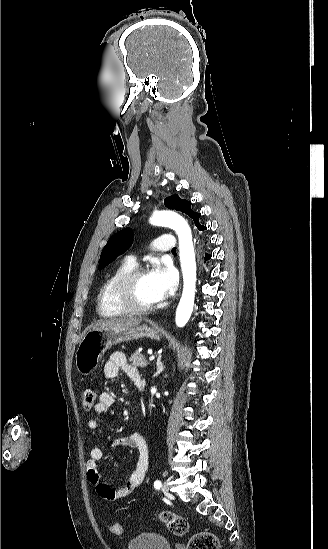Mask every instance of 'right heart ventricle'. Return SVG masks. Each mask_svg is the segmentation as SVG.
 I'll return each mask as SVG.
<instances>
[{"instance_id": "e07e8e85", "label": "right heart ventricle", "mask_w": 328, "mask_h": 549, "mask_svg": "<svg viewBox=\"0 0 328 549\" xmlns=\"http://www.w3.org/2000/svg\"><path fill=\"white\" fill-rule=\"evenodd\" d=\"M137 265V260L134 256L123 257L116 265L113 273L102 284L96 301V311L100 319L107 323V319H129L127 315L114 313L110 309L113 304L109 293L114 282L126 271L133 269Z\"/></svg>"}]
</instances>
